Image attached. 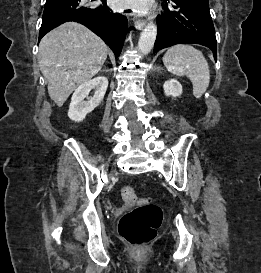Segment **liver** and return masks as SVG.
I'll return each instance as SVG.
<instances>
[{"mask_svg":"<svg viewBox=\"0 0 261 273\" xmlns=\"http://www.w3.org/2000/svg\"><path fill=\"white\" fill-rule=\"evenodd\" d=\"M108 50L102 39L75 22L65 23L42 38L39 66L48 81L49 96L58 107L101 70Z\"/></svg>","mask_w":261,"mask_h":273,"instance_id":"liver-1","label":"liver"}]
</instances>
